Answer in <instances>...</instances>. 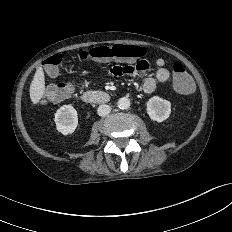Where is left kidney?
Wrapping results in <instances>:
<instances>
[{"instance_id": "obj_1", "label": "left kidney", "mask_w": 232, "mask_h": 232, "mask_svg": "<svg viewBox=\"0 0 232 232\" xmlns=\"http://www.w3.org/2000/svg\"><path fill=\"white\" fill-rule=\"evenodd\" d=\"M147 113L151 120L163 122L171 113V103L159 96H153L147 102Z\"/></svg>"}]
</instances>
